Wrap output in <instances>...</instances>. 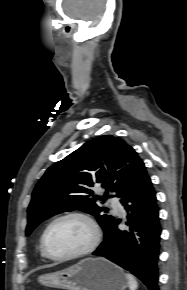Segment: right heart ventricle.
Here are the masks:
<instances>
[{"label": "right heart ventricle", "mask_w": 187, "mask_h": 290, "mask_svg": "<svg viewBox=\"0 0 187 290\" xmlns=\"http://www.w3.org/2000/svg\"><path fill=\"white\" fill-rule=\"evenodd\" d=\"M39 248H40V254H41V256L44 257V258H46L45 254H44V252L42 250L41 243H40V247Z\"/></svg>", "instance_id": "obj_1"}]
</instances>
